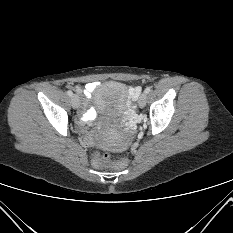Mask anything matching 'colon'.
Masks as SVG:
<instances>
[{"label":"colon","instance_id":"colon-1","mask_svg":"<svg viewBox=\"0 0 233 233\" xmlns=\"http://www.w3.org/2000/svg\"><path fill=\"white\" fill-rule=\"evenodd\" d=\"M110 161H111V156L107 153L101 154L99 152H96L94 155V164L98 167Z\"/></svg>","mask_w":233,"mask_h":233}]
</instances>
